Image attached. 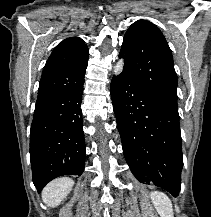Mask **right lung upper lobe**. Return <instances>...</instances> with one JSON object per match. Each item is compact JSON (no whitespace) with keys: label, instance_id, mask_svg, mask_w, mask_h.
Segmentation results:
<instances>
[{"label":"right lung upper lobe","instance_id":"1","mask_svg":"<svg viewBox=\"0 0 211 217\" xmlns=\"http://www.w3.org/2000/svg\"><path fill=\"white\" fill-rule=\"evenodd\" d=\"M89 51L78 37L63 40L53 50L44 67L37 101L72 87L85 74Z\"/></svg>","mask_w":211,"mask_h":217}]
</instances>
